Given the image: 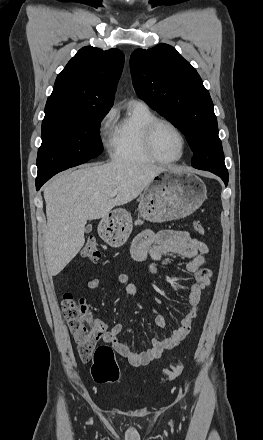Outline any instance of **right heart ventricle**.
<instances>
[{
	"mask_svg": "<svg viewBox=\"0 0 263 440\" xmlns=\"http://www.w3.org/2000/svg\"><path fill=\"white\" fill-rule=\"evenodd\" d=\"M155 118L147 105L130 103L127 114L114 127L112 158L119 162H152L143 147V130Z\"/></svg>",
	"mask_w": 263,
	"mask_h": 440,
	"instance_id": "1",
	"label": "right heart ventricle"
}]
</instances>
